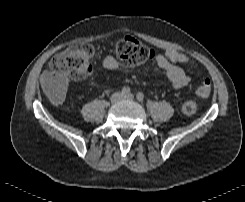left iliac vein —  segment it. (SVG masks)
Listing matches in <instances>:
<instances>
[{
    "label": "left iliac vein",
    "mask_w": 245,
    "mask_h": 202,
    "mask_svg": "<svg viewBox=\"0 0 245 202\" xmlns=\"http://www.w3.org/2000/svg\"><path fill=\"white\" fill-rule=\"evenodd\" d=\"M123 99L124 100H133L134 99V96L132 94L125 95V96H123Z\"/></svg>",
    "instance_id": "1"
}]
</instances>
